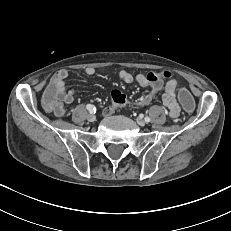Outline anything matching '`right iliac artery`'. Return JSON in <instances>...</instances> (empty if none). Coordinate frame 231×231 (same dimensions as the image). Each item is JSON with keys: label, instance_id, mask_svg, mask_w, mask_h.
<instances>
[{"label": "right iliac artery", "instance_id": "obj_1", "mask_svg": "<svg viewBox=\"0 0 231 231\" xmlns=\"http://www.w3.org/2000/svg\"><path fill=\"white\" fill-rule=\"evenodd\" d=\"M86 108H87V110H89L91 113H95V111H96V108L93 106V105H91V104H87L86 105Z\"/></svg>", "mask_w": 231, "mask_h": 231}]
</instances>
